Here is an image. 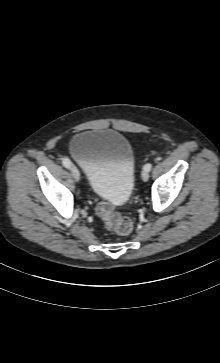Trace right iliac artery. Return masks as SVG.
<instances>
[{
    "instance_id": "right-iliac-artery-1",
    "label": "right iliac artery",
    "mask_w": 220,
    "mask_h": 363,
    "mask_svg": "<svg viewBox=\"0 0 220 363\" xmlns=\"http://www.w3.org/2000/svg\"><path fill=\"white\" fill-rule=\"evenodd\" d=\"M62 164L66 167V168H70L71 167V162L68 158H63L62 159Z\"/></svg>"
}]
</instances>
